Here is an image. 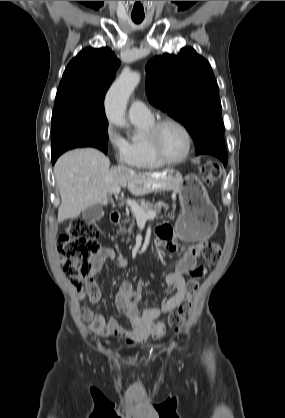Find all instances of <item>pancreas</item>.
<instances>
[{"instance_id": "cf45deb5", "label": "pancreas", "mask_w": 285, "mask_h": 418, "mask_svg": "<svg viewBox=\"0 0 285 418\" xmlns=\"http://www.w3.org/2000/svg\"><path fill=\"white\" fill-rule=\"evenodd\" d=\"M162 206L166 210L168 209V206L165 205L162 202H157V203L146 202V203H142L140 207L145 212H149V211H152V210L160 211V209H161ZM174 211H175V205H173V210H172L171 214H169V217H173L174 216ZM132 215H133V220H132V223L130 224V227L128 229H126V227H125V225L130 221V218L128 217L127 219H125L122 222V224L119 225L118 233H122V234L132 233L133 228L135 226V222H134L135 215H134L133 212H132Z\"/></svg>"}]
</instances>
